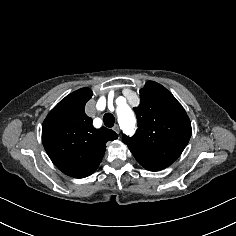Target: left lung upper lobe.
<instances>
[{
  "instance_id": "5c2ea615",
  "label": "left lung upper lobe",
  "mask_w": 236,
  "mask_h": 236,
  "mask_svg": "<svg viewBox=\"0 0 236 236\" xmlns=\"http://www.w3.org/2000/svg\"><path fill=\"white\" fill-rule=\"evenodd\" d=\"M138 129L123 142L145 169L160 171L182 153L191 137V123L182 105L161 84L148 81L134 108Z\"/></svg>"
}]
</instances>
